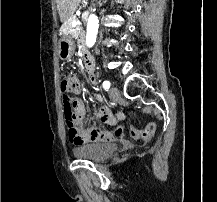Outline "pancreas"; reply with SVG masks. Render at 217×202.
I'll return each mask as SVG.
<instances>
[{
  "label": "pancreas",
  "instance_id": "cf45deb5",
  "mask_svg": "<svg viewBox=\"0 0 217 202\" xmlns=\"http://www.w3.org/2000/svg\"><path fill=\"white\" fill-rule=\"evenodd\" d=\"M70 19L73 21L75 20V17L72 16ZM61 27L63 33L72 34L74 38H78L79 34L82 32V28H79V26H75V28H73L71 22H64Z\"/></svg>",
  "mask_w": 217,
  "mask_h": 202
}]
</instances>
